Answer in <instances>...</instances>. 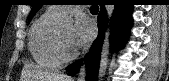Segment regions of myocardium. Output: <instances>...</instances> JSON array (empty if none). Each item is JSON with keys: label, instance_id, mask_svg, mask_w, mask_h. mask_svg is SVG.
Here are the masks:
<instances>
[{"label": "myocardium", "instance_id": "f54148a6", "mask_svg": "<svg viewBox=\"0 0 169 81\" xmlns=\"http://www.w3.org/2000/svg\"><path fill=\"white\" fill-rule=\"evenodd\" d=\"M54 41H55V49L61 62H67L75 58L76 51L74 49L70 51L65 50L61 41L59 28H56Z\"/></svg>", "mask_w": 169, "mask_h": 81}]
</instances>
